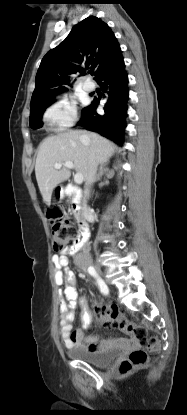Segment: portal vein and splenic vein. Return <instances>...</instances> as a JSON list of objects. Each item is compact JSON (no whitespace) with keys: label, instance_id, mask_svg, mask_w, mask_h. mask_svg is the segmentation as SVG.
<instances>
[{"label":"portal vein and splenic vein","instance_id":"1","mask_svg":"<svg viewBox=\"0 0 187 415\" xmlns=\"http://www.w3.org/2000/svg\"><path fill=\"white\" fill-rule=\"evenodd\" d=\"M63 165L70 168V169L74 168V164L71 161H66V162L63 163ZM54 167L56 169H60L62 167V164L61 163H55ZM74 181L78 185L82 184L83 175L81 173H76L75 176H74Z\"/></svg>","mask_w":187,"mask_h":415}]
</instances>
